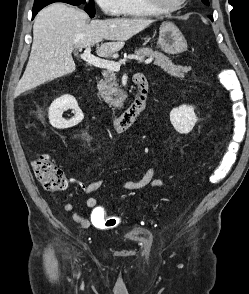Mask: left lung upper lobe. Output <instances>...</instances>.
I'll use <instances>...</instances> for the list:
<instances>
[{
	"mask_svg": "<svg viewBox=\"0 0 249 294\" xmlns=\"http://www.w3.org/2000/svg\"><path fill=\"white\" fill-rule=\"evenodd\" d=\"M205 5L209 6V1L208 0H201Z\"/></svg>",
	"mask_w": 249,
	"mask_h": 294,
	"instance_id": "obj_1",
	"label": "left lung upper lobe"
}]
</instances>
